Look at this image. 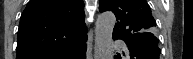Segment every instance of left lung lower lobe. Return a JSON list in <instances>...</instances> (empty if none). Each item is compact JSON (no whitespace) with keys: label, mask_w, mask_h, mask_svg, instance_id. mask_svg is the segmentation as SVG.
<instances>
[{"label":"left lung lower lobe","mask_w":193,"mask_h":59,"mask_svg":"<svg viewBox=\"0 0 193 59\" xmlns=\"http://www.w3.org/2000/svg\"><path fill=\"white\" fill-rule=\"evenodd\" d=\"M113 39H122L118 35L113 34ZM127 44L130 51V59H159L161 50L158 47V39L156 37L138 38L130 36L122 39ZM115 56L116 59H121Z\"/></svg>","instance_id":"left-lung-lower-lobe-1"}]
</instances>
